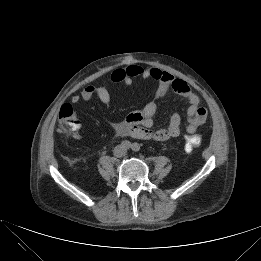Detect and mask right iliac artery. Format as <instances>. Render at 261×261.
<instances>
[{
	"label": "right iliac artery",
	"mask_w": 261,
	"mask_h": 261,
	"mask_svg": "<svg viewBox=\"0 0 261 261\" xmlns=\"http://www.w3.org/2000/svg\"><path fill=\"white\" fill-rule=\"evenodd\" d=\"M121 146L125 149H129L131 147V143L127 140L121 142Z\"/></svg>",
	"instance_id": "obj_1"
}]
</instances>
